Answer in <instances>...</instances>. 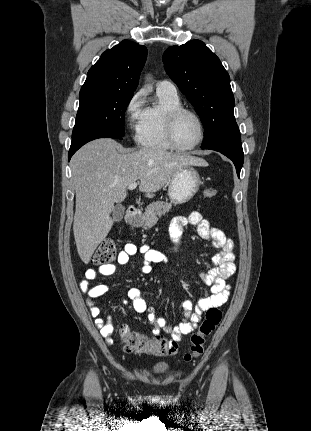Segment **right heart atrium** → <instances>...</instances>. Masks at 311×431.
I'll use <instances>...</instances> for the list:
<instances>
[{"label":"right heart atrium","instance_id":"right-heart-atrium-1","mask_svg":"<svg viewBox=\"0 0 311 431\" xmlns=\"http://www.w3.org/2000/svg\"><path fill=\"white\" fill-rule=\"evenodd\" d=\"M145 96L142 90L132 94L125 104L124 117L129 130L135 134L144 112Z\"/></svg>","mask_w":311,"mask_h":431}]
</instances>
